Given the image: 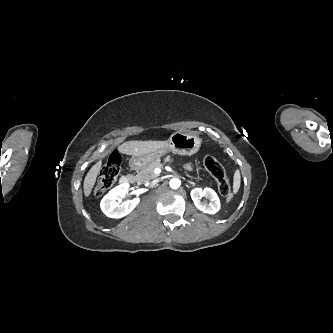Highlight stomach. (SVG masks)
Here are the masks:
<instances>
[{"label":"stomach","instance_id":"0dacf381","mask_svg":"<svg viewBox=\"0 0 333 333\" xmlns=\"http://www.w3.org/2000/svg\"><path fill=\"white\" fill-rule=\"evenodd\" d=\"M167 141L166 148L142 156H133L129 161L130 167L133 169L143 168L150 162L165 156L168 152L178 155H192L199 151L202 143L199 136L181 131L174 132Z\"/></svg>","mask_w":333,"mask_h":333}]
</instances>
